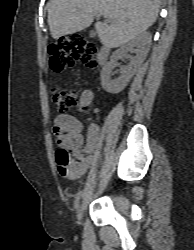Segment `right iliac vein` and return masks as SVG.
<instances>
[{"instance_id":"right-iliac-vein-1","label":"right iliac vein","mask_w":194,"mask_h":250,"mask_svg":"<svg viewBox=\"0 0 194 250\" xmlns=\"http://www.w3.org/2000/svg\"><path fill=\"white\" fill-rule=\"evenodd\" d=\"M82 214H83V205L80 204L77 210L78 224H80Z\"/></svg>"}]
</instances>
